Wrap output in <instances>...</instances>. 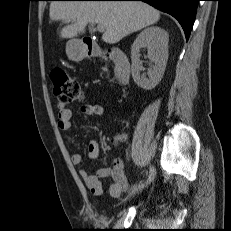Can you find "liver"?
I'll list each match as a JSON object with an SVG mask.
<instances>
[{
  "mask_svg": "<svg viewBox=\"0 0 231 231\" xmlns=\"http://www.w3.org/2000/svg\"><path fill=\"white\" fill-rule=\"evenodd\" d=\"M49 15L51 21L68 23L61 30L62 38L77 37L85 33L89 23H100L105 29L102 40L109 44L118 43L160 19L158 10L135 1H54Z\"/></svg>",
  "mask_w": 231,
  "mask_h": 231,
  "instance_id": "1",
  "label": "liver"
}]
</instances>
